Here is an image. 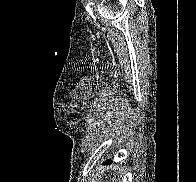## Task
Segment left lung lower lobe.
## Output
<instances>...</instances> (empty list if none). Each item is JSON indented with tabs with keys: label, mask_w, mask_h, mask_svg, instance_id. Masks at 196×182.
Masks as SVG:
<instances>
[{
	"label": "left lung lower lobe",
	"mask_w": 196,
	"mask_h": 182,
	"mask_svg": "<svg viewBox=\"0 0 196 182\" xmlns=\"http://www.w3.org/2000/svg\"><path fill=\"white\" fill-rule=\"evenodd\" d=\"M111 163V161H107L105 164Z\"/></svg>",
	"instance_id": "left-lung-lower-lobe-1"
}]
</instances>
